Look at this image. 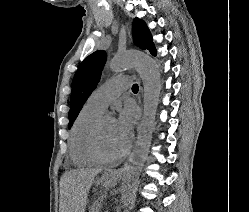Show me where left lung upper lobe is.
I'll list each match as a JSON object with an SVG mask.
<instances>
[{
    "instance_id": "obj_1",
    "label": "left lung upper lobe",
    "mask_w": 249,
    "mask_h": 212,
    "mask_svg": "<svg viewBox=\"0 0 249 212\" xmlns=\"http://www.w3.org/2000/svg\"><path fill=\"white\" fill-rule=\"evenodd\" d=\"M134 43L141 49H148L151 54L156 55V50L152 42V36L144 21L135 18L133 21ZM107 54L99 50L84 59L80 64L72 85L69 111V128L77 118L82 106L96 88Z\"/></svg>"
}]
</instances>
